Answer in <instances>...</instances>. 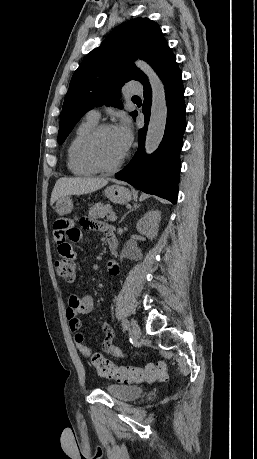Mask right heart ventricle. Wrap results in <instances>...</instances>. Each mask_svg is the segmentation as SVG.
Masks as SVG:
<instances>
[{
  "label": "right heart ventricle",
  "instance_id": "1",
  "mask_svg": "<svg viewBox=\"0 0 257 459\" xmlns=\"http://www.w3.org/2000/svg\"><path fill=\"white\" fill-rule=\"evenodd\" d=\"M98 120L86 117L75 129L67 147V166L77 176H90L97 170L85 163L81 156V146L88 133L97 125Z\"/></svg>",
  "mask_w": 257,
  "mask_h": 459
}]
</instances>
